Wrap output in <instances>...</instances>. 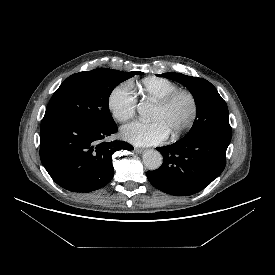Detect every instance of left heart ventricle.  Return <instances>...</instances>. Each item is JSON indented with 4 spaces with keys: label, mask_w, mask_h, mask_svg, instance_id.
<instances>
[{
    "label": "left heart ventricle",
    "mask_w": 275,
    "mask_h": 275,
    "mask_svg": "<svg viewBox=\"0 0 275 275\" xmlns=\"http://www.w3.org/2000/svg\"><path fill=\"white\" fill-rule=\"evenodd\" d=\"M190 113V100L187 96L182 95L167 109H161L156 106L152 120L161 121L171 134L187 122Z\"/></svg>",
    "instance_id": "left-heart-ventricle-1"
}]
</instances>
